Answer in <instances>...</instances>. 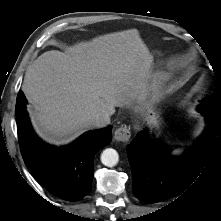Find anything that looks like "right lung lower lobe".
Segmentation results:
<instances>
[{
  "instance_id": "obj_1",
  "label": "right lung lower lobe",
  "mask_w": 221,
  "mask_h": 221,
  "mask_svg": "<svg viewBox=\"0 0 221 221\" xmlns=\"http://www.w3.org/2000/svg\"><path fill=\"white\" fill-rule=\"evenodd\" d=\"M27 100L19 91L16 101L20 151L26 166L53 195L77 201L91 190L96 153L111 142L112 126L89 131L66 147L55 148L34 133L26 112Z\"/></svg>"
}]
</instances>
